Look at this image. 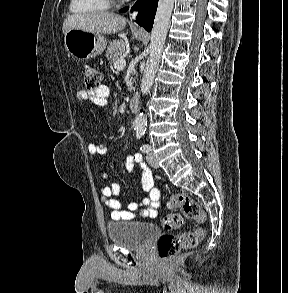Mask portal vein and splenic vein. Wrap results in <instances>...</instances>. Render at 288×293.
<instances>
[{"label": "portal vein and splenic vein", "mask_w": 288, "mask_h": 293, "mask_svg": "<svg viewBox=\"0 0 288 293\" xmlns=\"http://www.w3.org/2000/svg\"><path fill=\"white\" fill-rule=\"evenodd\" d=\"M125 66H126V60L124 57H121L117 61L114 62L115 69H123Z\"/></svg>", "instance_id": "18ae733b"}]
</instances>
